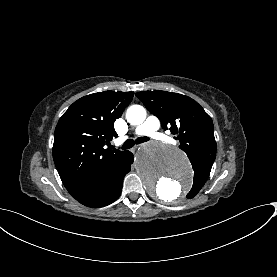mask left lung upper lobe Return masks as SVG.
<instances>
[{"instance_id":"5c2ea615","label":"left lung upper lobe","mask_w":277,"mask_h":277,"mask_svg":"<svg viewBox=\"0 0 277 277\" xmlns=\"http://www.w3.org/2000/svg\"><path fill=\"white\" fill-rule=\"evenodd\" d=\"M136 96L157 116L164 130L177 134L182 149L192 163L193 187L187 198H193L209 177L216 156V141L211 117L193 99L166 91H142ZM177 139L176 137H174Z\"/></svg>"}]
</instances>
